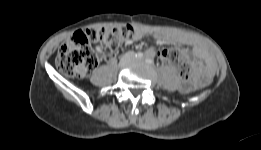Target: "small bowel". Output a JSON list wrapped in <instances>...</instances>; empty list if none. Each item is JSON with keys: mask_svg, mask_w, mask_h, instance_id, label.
Here are the masks:
<instances>
[{"mask_svg": "<svg viewBox=\"0 0 261 150\" xmlns=\"http://www.w3.org/2000/svg\"><path fill=\"white\" fill-rule=\"evenodd\" d=\"M147 33L148 31L144 28H136L131 41L136 42ZM154 38L159 43H177L186 45L191 48L193 55L197 58L198 61L193 63L194 77L191 81L186 83L187 88H191L199 80L205 79L213 73L215 69L214 59L205 45L197 39L190 36H166L159 33L154 34ZM146 55L154 57L156 55V52L152 49H148L146 50ZM159 57L162 61L166 62L163 56L159 55Z\"/></svg>", "mask_w": 261, "mask_h": 150, "instance_id": "1", "label": "small bowel"}]
</instances>
